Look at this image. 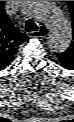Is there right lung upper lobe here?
Masks as SVG:
<instances>
[{"label": "right lung upper lobe", "mask_w": 74, "mask_h": 122, "mask_svg": "<svg viewBox=\"0 0 74 122\" xmlns=\"http://www.w3.org/2000/svg\"><path fill=\"white\" fill-rule=\"evenodd\" d=\"M10 21L4 10V1H0V70L14 59L18 46L28 40Z\"/></svg>", "instance_id": "obj_1"}]
</instances>
